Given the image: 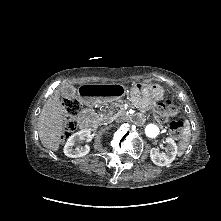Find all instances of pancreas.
Returning a JSON list of instances; mask_svg holds the SVG:
<instances>
[{
	"label": "pancreas",
	"mask_w": 221,
	"mask_h": 221,
	"mask_svg": "<svg viewBox=\"0 0 221 221\" xmlns=\"http://www.w3.org/2000/svg\"><path fill=\"white\" fill-rule=\"evenodd\" d=\"M119 103H123V101L118 100V103H114L113 108L110 109L108 112L96 114L97 120L100 122H107V121H110V120L120 116V115H124L125 110L123 108H120L117 112L114 111L118 107H122ZM141 112L145 113L144 110H141Z\"/></svg>",
	"instance_id": "pancreas-1"
}]
</instances>
